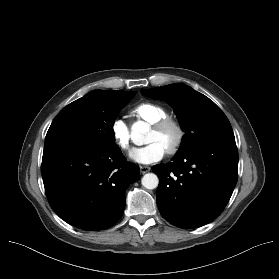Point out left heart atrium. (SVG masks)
I'll return each mask as SVG.
<instances>
[{"label":"left heart atrium","instance_id":"left-heart-atrium-1","mask_svg":"<svg viewBox=\"0 0 279 279\" xmlns=\"http://www.w3.org/2000/svg\"><path fill=\"white\" fill-rule=\"evenodd\" d=\"M166 149L158 142L148 143L146 146L135 149L131 153L132 159L142 164H150L161 160Z\"/></svg>","mask_w":279,"mask_h":279}]
</instances>
